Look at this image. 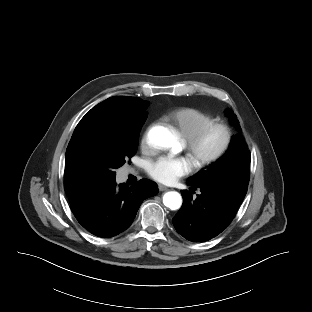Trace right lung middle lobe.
<instances>
[{"label":"right lung middle lobe","instance_id":"1","mask_svg":"<svg viewBox=\"0 0 312 312\" xmlns=\"http://www.w3.org/2000/svg\"><path fill=\"white\" fill-rule=\"evenodd\" d=\"M146 119V111L134 116L85 115L67 147L65 182L74 188L97 190L115 180V169L136 153Z\"/></svg>","mask_w":312,"mask_h":312}]
</instances>
